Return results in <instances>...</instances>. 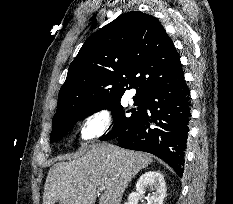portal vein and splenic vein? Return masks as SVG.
Wrapping results in <instances>:
<instances>
[{"label":"portal vein and splenic vein","instance_id":"obj_1","mask_svg":"<svg viewBox=\"0 0 233 204\" xmlns=\"http://www.w3.org/2000/svg\"><path fill=\"white\" fill-rule=\"evenodd\" d=\"M98 190L102 191V190H103V187H99Z\"/></svg>","mask_w":233,"mask_h":204}]
</instances>
